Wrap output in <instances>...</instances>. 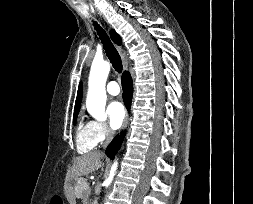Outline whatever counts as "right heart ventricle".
Returning a JSON list of instances; mask_svg holds the SVG:
<instances>
[{"mask_svg": "<svg viewBox=\"0 0 253 204\" xmlns=\"http://www.w3.org/2000/svg\"><path fill=\"white\" fill-rule=\"evenodd\" d=\"M96 145L97 143L93 137L90 122L80 120L76 128V147L78 152H90Z\"/></svg>", "mask_w": 253, "mask_h": 204, "instance_id": "obj_1", "label": "right heart ventricle"}]
</instances>
